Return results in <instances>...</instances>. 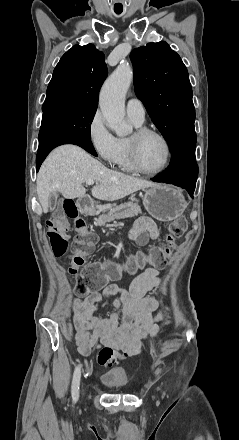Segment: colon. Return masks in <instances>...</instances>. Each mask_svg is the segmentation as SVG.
<instances>
[{"instance_id": "1", "label": "colon", "mask_w": 239, "mask_h": 440, "mask_svg": "<svg viewBox=\"0 0 239 440\" xmlns=\"http://www.w3.org/2000/svg\"><path fill=\"white\" fill-rule=\"evenodd\" d=\"M65 218L72 219L75 222V229L77 231L70 258L69 273L76 275L81 271L76 287L80 294H86L92 288L100 287L109 280L119 277L124 269L134 273L142 269L146 264L162 267L170 257L176 239L182 236L187 228L185 217L174 219L168 227V245L166 247H154L148 255L138 253L125 267L112 263H94L83 268L87 257L93 251L96 237L88 230L85 220L79 216L77 207L72 199L65 200L62 214H57L54 218L47 221V235L52 251L57 256L63 255L67 251L68 235L66 233ZM113 358L114 352L111 349L104 348L99 352L98 363L100 365H109L113 362Z\"/></svg>"}]
</instances>
